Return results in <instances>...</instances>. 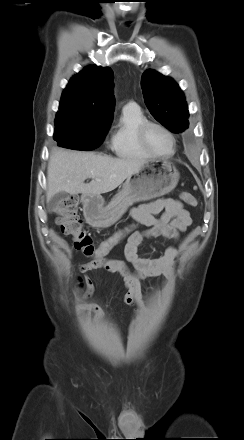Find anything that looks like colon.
<instances>
[{
    "label": "colon",
    "mask_w": 244,
    "mask_h": 440,
    "mask_svg": "<svg viewBox=\"0 0 244 440\" xmlns=\"http://www.w3.org/2000/svg\"><path fill=\"white\" fill-rule=\"evenodd\" d=\"M180 198L190 206L197 205L196 198L188 192L181 193ZM54 212L61 230L73 237L77 250L92 258L91 264L95 268L112 270L118 267L119 261L106 259V256L114 247L135 232L134 225L120 229L95 247L91 236L85 230L84 222L77 214V199L75 197H68L60 201Z\"/></svg>",
    "instance_id": "colon-1"
}]
</instances>
